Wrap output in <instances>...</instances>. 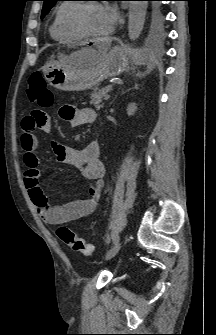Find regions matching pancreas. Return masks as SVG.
<instances>
[{
	"label": "pancreas",
	"mask_w": 216,
	"mask_h": 335,
	"mask_svg": "<svg viewBox=\"0 0 216 335\" xmlns=\"http://www.w3.org/2000/svg\"><path fill=\"white\" fill-rule=\"evenodd\" d=\"M107 92L108 89L106 88L102 90H94L90 97V104L93 105L96 109L103 108L104 103L102 102V98L105 97Z\"/></svg>",
	"instance_id": "pancreas-1"
}]
</instances>
